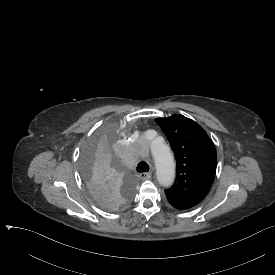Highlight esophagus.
I'll return each mask as SVG.
<instances>
[{
    "instance_id": "1",
    "label": "esophagus",
    "mask_w": 275,
    "mask_h": 275,
    "mask_svg": "<svg viewBox=\"0 0 275 275\" xmlns=\"http://www.w3.org/2000/svg\"><path fill=\"white\" fill-rule=\"evenodd\" d=\"M139 177L142 179V180H148L151 178V173L150 172H142L139 174Z\"/></svg>"
}]
</instances>
